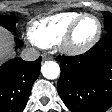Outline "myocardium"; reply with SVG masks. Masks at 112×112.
Here are the masks:
<instances>
[{
    "label": "myocardium",
    "mask_w": 112,
    "mask_h": 112,
    "mask_svg": "<svg viewBox=\"0 0 112 112\" xmlns=\"http://www.w3.org/2000/svg\"><path fill=\"white\" fill-rule=\"evenodd\" d=\"M87 17H92L97 21L98 28L95 36L86 44L77 45L74 42V35L76 32L77 27L81 23V21ZM102 34V23L100 19L90 13H83L81 14L74 22L70 25L67 32L63 36L62 40L60 41V49L63 53L69 56H77L88 52L92 49L100 40Z\"/></svg>",
    "instance_id": "f54148a6"
}]
</instances>
